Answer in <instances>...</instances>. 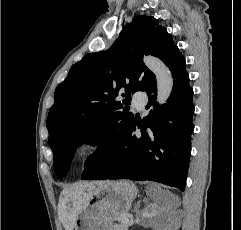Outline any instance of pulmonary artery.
I'll use <instances>...</instances> for the list:
<instances>
[{"label":"pulmonary artery","mask_w":241,"mask_h":230,"mask_svg":"<svg viewBox=\"0 0 241 230\" xmlns=\"http://www.w3.org/2000/svg\"><path fill=\"white\" fill-rule=\"evenodd\" d=\"M146 102V94L144 92H138L133 95L132 104L138 109H142Z\"/></svg>","instance_id":"e3ab8cb5"}]
</instances>
